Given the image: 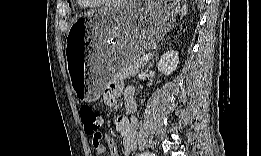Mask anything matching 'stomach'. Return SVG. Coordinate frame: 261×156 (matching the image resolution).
I'll return each instance as SVG.
<instances>
[{
  "label": "stomach",
  "instance_id": "0dacf381",
  "mask_svg": "<svg viewBox=\"0 0 261 156\" xmlns=\"http://www.w3.org/2000/svg\"><path fill=\"white\" fill-rule=\"evenodd\" d=\"M178 10L177 2H124L77 19L67 35L66 60L78 99L96 101L124 65L164 38ZM81 40H90L91 54L79 59L74 44Z\"/></svg>",
  "mask_w": 261,
  "mask_h": 156
}]
</instances>
